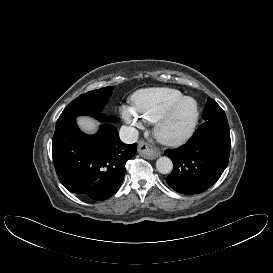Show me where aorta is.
Returning <instances> with one entry per match:
<instances>
[{
    "label": "aorta",
    "mask_w": 273,
    "mask_h": 273,
    "mask_svg": "<svg viewBox=\"0 0 273 273\" xmlns=\"http://www.w3.org/2000/svg\"><path fill=\"white\" fill-rule=\"evenodd\" d=\"M157 171L161 174H168L172 171L173 164L170 158L160 157L156 161Z\"/></svg>",
    "instance_id": "obj_1"
}]
</instances>
